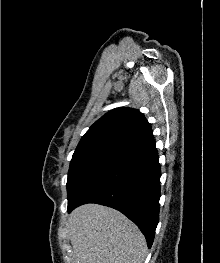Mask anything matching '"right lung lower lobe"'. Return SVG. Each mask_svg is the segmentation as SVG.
Returning a JSON list of instances; mask_svg holds the SVG:
<instances>
[{
	"instance_id": "1",
	"label": "right lung lower lobe",
	"mask_w": 220,
	"mask_h": 263,
	"mask_svg": "<svg viewBox=\"0 0 220 263\" xmlns=\"http://www.w3.org/2000/svg\"><path fill=\"white\" fill-rule=\"evenodd\" d=\"M160 164L154 137L121 150L87 183L68 212L85 203L119 210L144 234L150 248L159 222Z\"/></svg>"
}]
</instances>
